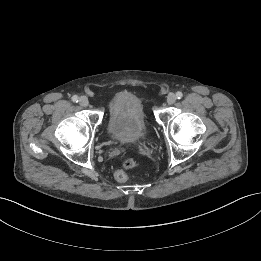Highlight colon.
Listing matches in <instances>:
<instances>
[{
	"mask_svg": "<svg viewBox=\"0 0 261 261\" xmlns=\"http://www.w3.org/2000/svg\"><path fill=\"white\" fill-rule=\"evenodd\" d=\"M136 166L134 160L128 158L123 161L122 169L115 172V179L118 182H125L128 179L127 171L133 169Z\"/></svg>",
	"mask_w": 261,
	"mask_h": 261,
	"instance_id": "1",
	"label": "colon"
}]
</instances>
